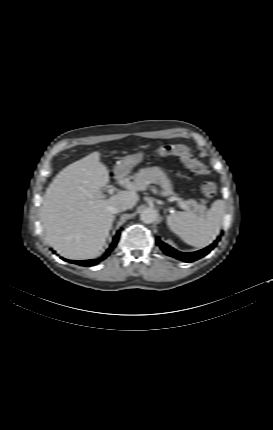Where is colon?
<instances>
[{
  "instance_id": "5ec220e1",
  "label": "colon",
  "mask_w": 273,
  "mask_h": 430,
  "mask_svg": "<svg viewBox=\"0 0 273 430\" xmlns=\"http://www.w3.org/2000/svg\"><path fill=\"white\" fill-rule=\"evenodd\" d=\"M157 153L163 156L174 155L178 156L182 163L195 175H206L209 169L201 161H199L184 145H162L157 149ZM202 194L207 198H212L217 192V187L214 182L207 181L201 186Z\"/></svg>"
}]
</instances>
